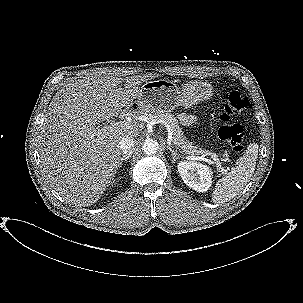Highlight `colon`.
<instances>
[{"label":"colon","instance_id":"1","mask_svg":"<svg viewBox=\"0 0 303 303\" xmlns=\"http://www.w3.org/2000/svg\"><path fill=\"white\" fill-rule=\"evenodd\" d=\"M250 108V101L237 91H229L225 97V106L221 114L222 125L219 136L230 148L239 153L243 149L245 132L237 118Z\"/></svg>","mask_w":303,"mask_h":303}]
</instances>
